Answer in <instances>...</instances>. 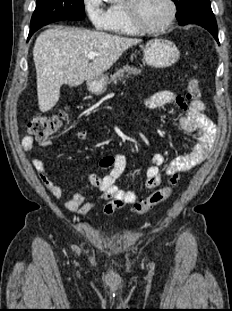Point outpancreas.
<instances>
[{
  "label": "pancreas",
  "mask_w": 232,
  "mask_h": 311,
  "mask_svg": "<svg viewBox=\"0 0 232 311\" xmlns=\"http://www.w3.org/2000/svg\"><path fill=\"white\" fill-rule=\"evenodd\" d=\"M140 73H141V70H139L138 68L131 67L129 65H124L122 68L118 69L113 75L110 76L108 83L109 82L116 83L117 81L122 80L124 75L128 77L131 75H138Z\"/></svg>",
  "instance_id": "cf45deb5"
}]
</instances>
